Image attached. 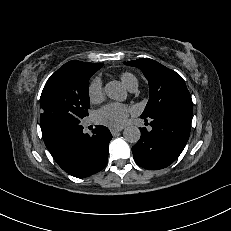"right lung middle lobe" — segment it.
I'll list each match as a JSON object with an SVG mask.
<instances>
[{
    "label": "right lung middle lobe",
    "instance_id": "dd1d6c3e",
    "mask_svg": "<svg viewBox=\"0 0 231 231\" xmlns=\"http://www.w3.org/2000/svg\"><path fill=\"white\" fill-rule=\"evenodd\" d=\"M100 67H61L46 82L40 97L43 137L80 123L88 115L89 79Z\"/></svg>",
    "mask_w": 231,
    "mask_h": 231
}]
</instances>
